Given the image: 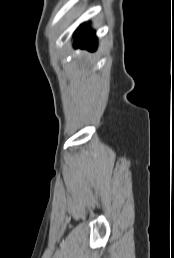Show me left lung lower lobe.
Listing matches in <instances>:
<instances>
[{
  "label": "left lung lower lobe",
  "mask_w": 174,
  "mask_h": 258,
  "mask_svg": "<svg viewBox=\"0 0 174 258\" xmlns=\"http://www.w3.org/2000/svg\"><path fill=\"white\" fill-rule=\"evenodd\" d=\"M78 37L77 41L74 43L75 48H86L90 51H95L97 47V39L95 33L89 30L87 24H83L79 27L76 32Z\"/></svg>",
  "instance_id": "obj_1"
}]
</instances>
